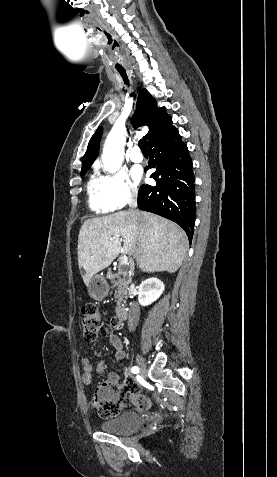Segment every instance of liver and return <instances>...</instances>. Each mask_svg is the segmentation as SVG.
I'll return each mask as SVG.
<instances>
[{
	"mask_svg": "<svg viewBox=\"0 0 277 477\" xmlns=\"http://www.w3.org/2000/svg\"><path fill=\"white\" fill-rule=\"evenodd\" d=\"M112 239V240H111ZM123 242V244H121ZM188 247L185 232L161 216L120 211L86 220L78 236V264L86 286L120 252L133 255L143 272H176Z\"/></svg>",
	"mask_w": 277,
	"mask_h": 477,
	"instance_id": "6515ba94",
	"label": "liver"
}]
</instances>
